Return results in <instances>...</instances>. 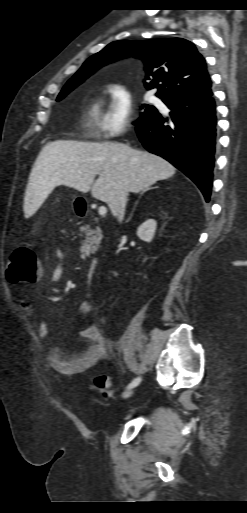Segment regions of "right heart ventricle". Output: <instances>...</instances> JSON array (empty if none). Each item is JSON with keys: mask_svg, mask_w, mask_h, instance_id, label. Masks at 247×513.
Returning a JSON list of instances; mask_svg holds the SVG:
<instances>
[{"mask_svg": "<svg viewBox=\"0 0 247 513\" xmlns=\"http://www.w3.org/2000/svg\"><path fill=\"white\" fill-rule=\"evenodd\" d=\"M101 118V108L98 98L90 101L84 115V129L88 134H94Z\"/></svg>", "mask_w": 247, "mask_h": 513, "instance_id": "right-heart-ventricle-1", "label": "right heart ventricle"}]
</instances>
